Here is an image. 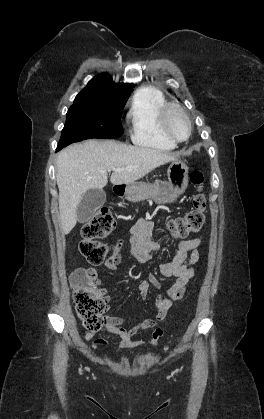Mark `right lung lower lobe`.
I'll return each instance as SVG.
<instances>
[{"label": "right lung lower lobe", "instance_id": "1", "mask_svg": "<svg viewBox=\"0 0 264 419\" xmlns=\"http://www.w3.org/2000/svg\"><path fill=\"white\" fill-rule=\"evenodd\" d=\"M59 150H61V149H58V148L56 149V151H59Z\"/></svg>", "mask_w": 264, "mask_h": 419}]
</instances>
